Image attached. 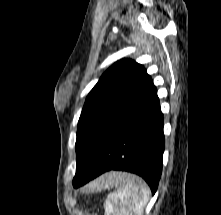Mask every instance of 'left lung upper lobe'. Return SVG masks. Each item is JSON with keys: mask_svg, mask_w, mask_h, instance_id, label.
<instances>
[{"mask_svg": "<svg viewBox=\"0 0 221 215\" xmlns=\"http://www.w3.org/2000/svg\"><path fill=\"white\" fill-rule=\"evenodd\" d=\"M150 80L146 69L131 59L112 65L90 91L78 122L77 166L73 182L91 168L118 115L142 92Z\"/></svg>", "mask_w": 221, "mask_h": 215, "instance_id": "1", "label": "left lung upper lobe"}]
</instances>
